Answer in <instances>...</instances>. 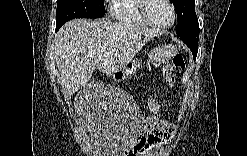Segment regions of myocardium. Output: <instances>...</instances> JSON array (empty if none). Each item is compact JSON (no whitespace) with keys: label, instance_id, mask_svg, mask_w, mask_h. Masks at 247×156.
Masks as SVG:
<instances>
[{"label":"myocardium","instance_id":"1","mask_svg":"<svg viewBox=\"0 0 247 156\" xmlns=\"http://www.w3.org/2000/svg\"><path fill=\"white\" fill-rule=\"evenodd\" d=\"M164 1L168 4V6L171 9V13H172L171 21L169 23H167V24H158V23L152 21L150 19V17L148 16V8H149L150 0L141 1V3H140L141 14H142L143 18L145 19L146 23L150 27L157 28V29H167V28H170V27H172L174 25L175 20H176L175 7H174L173 3L170 0H164Z\"/></svg>","mask_w":247,"mask_h":156}]
</instances>
